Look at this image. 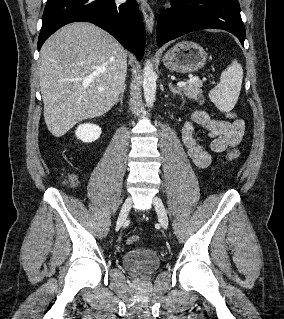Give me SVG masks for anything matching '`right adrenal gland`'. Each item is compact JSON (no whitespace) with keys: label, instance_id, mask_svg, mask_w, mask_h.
Here are the masks:
<instances>
[{"label":"right adrenal gland","instance_id":"right-adrenal-gland-1","mask_svg":"<svg viewBox=\"0 0 284 319\" xmlns=\"http://www.w3.org/2000/svg\"><path fill=\"white\" fill-rule=\"evenodd\" d=\"M125 89H126V85L123 86V89L121 90V93H120V97L118 98V100H117L116 103H118V102H120V104L123 103V97H124V91H125Z\"/></svg>","mask_w":284,"mask_h":319}]
</instances>
